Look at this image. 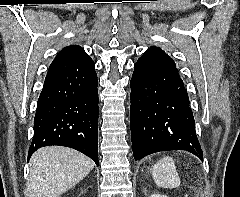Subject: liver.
<instances>
[{
    "label": "liver",
    "mask_w": 240,
    "mask_h": 197,
    "mask_svg": "<svg viewBox=\"0 0 240 197\" xmlns=\"http://www.w3.org/2000/svg\"><path fill=\"white\" fill-rule=\"evenodd\" d=\"M93 168L94 162L74 149L62 146L42 147L30 159L26 196L60 197Z\"/></svg>",
    "instance_id": "obj_1"
}]
</instances>
